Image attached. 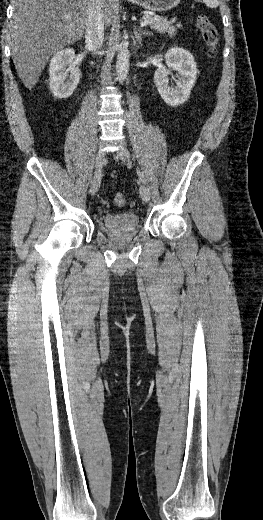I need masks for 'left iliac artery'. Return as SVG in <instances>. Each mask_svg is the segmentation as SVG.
Here are the masks:
<instances>
[{"instance_id": "1", "label": "left iliac artery", "mask_w": 263, "mask_h": 520, "mask_svg": "<svg viewBox=\"0 0 263 520\" xmlns=\"http://www.w3.org/2000/svg\"><path fill=\"white\" fill-rule=\"evenodd\" d=\"M137 173H138V175H139L140 180H141L144 184H146V179H145L143 173L139 170V168H137Z\"/></svg>"}]
</instances>
